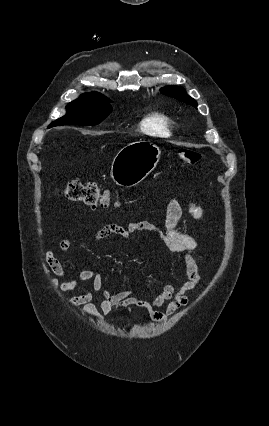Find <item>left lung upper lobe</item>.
<instances>
[{"label":"left lung upper lobe","mask_w":269,"mask_h":426,"mask_svg":"<svg viewBox=\"0 0 269 426\" xmlns=\"http://www.w3.org/2000/svg\"><path fill=\"white\" fill-rule=\"evenodd\" d=\"M161 92L163 94L168 95L170 97H173V98H175L179 101L188 103V104L194 106L195 108L197 107V102L193 98L188 96L185 93V90L183 88L176 87V86H168V87L162 88Z\"/></svg>","instance_id":"obj_1"}]
</instances>
